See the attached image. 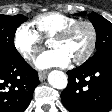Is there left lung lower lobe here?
Returning a JSON list of instances; mask_svg holds the SVG:
<instances>
[{"mask_svg": "<svg viewBox=\"0 0 112 112\" xmlns=\"http://www.w3.org/2000/svg\"><path fill=\"white\" fill-rule=\"evenodd\" d=\"M61 101L70 112H109L112 109V53L67 72Z\"/></svg>", "mask_w": 112, "mask_h": 112, "instance_id": "obj_1", "label": "left lung lower lobe"}]
</instances>
